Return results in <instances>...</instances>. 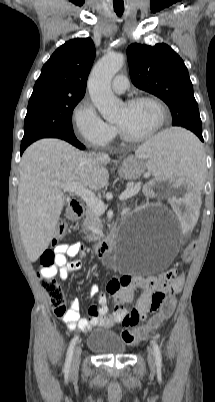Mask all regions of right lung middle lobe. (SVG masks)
Returning a JSON list of instances; mask_svg holds the SVG:
<instances>
[{
    "label": "right lung middle lobe",
    "instance_id": "obj_1",
    "mask_svg": "<svg viewBox=\"0 0 215 402\" xmlns=\"http://www.w3.org/2000/svg\"><path fill=\"white\" fill-rule=\"evenodd\" d=\"M81 99L50 94L31 96L21 145H30L41 138L67 139L74 136L72 112Z\"/></svg>",
    "mask_w": 215,
    "mask_h": 402
}]
</instances>
